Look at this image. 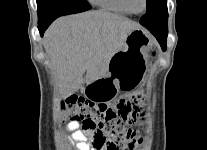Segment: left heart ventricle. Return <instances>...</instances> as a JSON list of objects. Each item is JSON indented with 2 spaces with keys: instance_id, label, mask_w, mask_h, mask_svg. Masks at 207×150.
I'll list each match as a JSON object with an SVG mask.
<instances>
[{
  "instance_id": "1",
  "label": "left heart ventricle",
  "mask_w": 207,
  "mask_h": 150,
  "mask_svg": "<svg viewBox=\"0 0 207 150\" xmlns=\"http://www.w3.org/2000/svg\"><path fill=\"white\" fill-rule=\"evenodd\" d=\"M131 6L135 11H141L144 7V0H130Z\"/></svg>"
}]
</instances>
